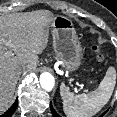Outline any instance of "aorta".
<instances>
[{
  "label": "aorta",
  "mask_w": 117,
  "mask_h": 117,
  "mask_svg": "<svg viewBox=\"0 0 117 117\" xmlns=\"http://www.w3.org/2000/svg\"><path fill=\"white\" fill-rule=\"evenodd\" d=\"M55 80L52 74L44 72L40 75V85L46 91H51L54 87Z\"/></svg>",
  "instance_id": "obj_1"
}]
</instances>
